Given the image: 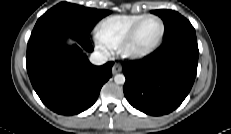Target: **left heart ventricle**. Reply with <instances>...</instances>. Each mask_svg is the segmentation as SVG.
I'll list each match as a JSON object with an SVG mask.
<instances>
[{
    "label": "left heart ventricle",
    "instance_id": "b2bd125f",
    "mask_svg": "<svg viewBox=\"0 0 231 134\" xmlns=\"http://www.w3.org/2000/svg\"><path fill=\"white\" fill-rule=\"evenodd\" d=\"M161 23L156 18L146 20L138 31L133 43V49L143 51L153 46L161 34Z\"/></svg>",
    "mask_w": 231,
    "mask_h": 134
}]
</instances>
